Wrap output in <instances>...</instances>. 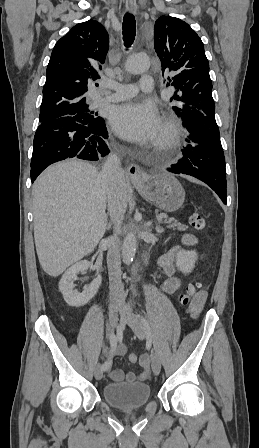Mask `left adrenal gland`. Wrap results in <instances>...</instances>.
Here are the masks:
<instances>
[{"mask_svg": "<svg viewBox=\"0 0 259 448\" xmlns=\"http://www.w3.org/2000/svg\"><path fill=\"white\" fill-rule=\"evenodd\" d=\"M156 230H157L158 234H161V232H163V230H161V228H159V226H157Z\"/></svg>", "mask_w": 259, "mask_h": 448, "instance_id": "left-adrenal-gland-1", "label": "left adrenal gland"}]
</instances>
